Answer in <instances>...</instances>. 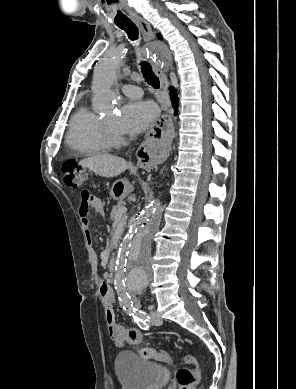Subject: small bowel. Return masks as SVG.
I'll return each mask as SVG.
<instances>
[{
	"instance_id": "obj_1",
	"label": "small bowel",
	"mask_w": 296,
	"mask_h": 389,
	"mask_svg": "<svg viewBox=\"0 0 296 389\" xmlns=\"http://www.w3.org/2000/svg\"><path fill=\"white\" fill-rule=\"evenodd\" d=\"M92 209L102 214L104 212L103 202L100 198L91 195L87 191H83L79 206V215L82 224L86 227V236L89 242L91 241V233L87 228ZM99 293L105 308V320L110 338L120 347L128 344H139L142 340L141 331L137 328H127L116 321L113 309L114 292L111 286L107 282H102L99 287Z\"/></svg>"
}]
</instances>
